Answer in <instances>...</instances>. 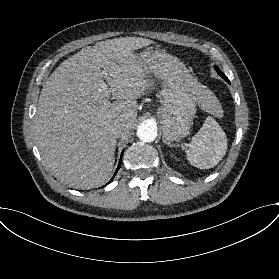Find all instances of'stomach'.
Returning <instances> with one entry per match:
<instances>
[{
	"label": "stomach",
	"mask_w": 279,
	"mask_h": 279,
	"mask_svg": "<svg viewBox=\"0 0 279 279\" xmlns=\"http://www.w3.org/2000/svg\"><path fill=\"white\" fill-rule=\"evenodd\" d=\"M138 55L145 62L147 72L163 81L161 106L157 111L163 142L179 141L189 134L196 114L197 98L186 82L190 72L165 50L148 48Z\"/></svg>",
	"instance_id": "obj_1"
}]
</instances>
